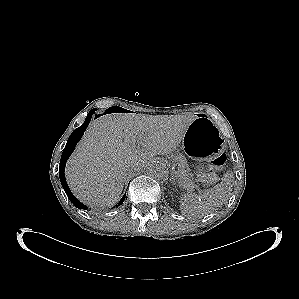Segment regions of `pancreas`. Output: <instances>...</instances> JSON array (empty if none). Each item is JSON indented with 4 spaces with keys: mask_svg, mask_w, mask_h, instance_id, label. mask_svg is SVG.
Instances as JSON below:
<instances>
[{
    "mask_svg": "<svg viewBox=\"0 0 299 299\" xmlns=\"http://www.w3.org/2000/svg\"><path fill=\"white\" fill-rule=\"evenodd\" d=\"M177 162H178V177L179 179L185 184L190 186L191 185V173H190V169L188 167L186 158L182 155L178 156L177 158Z\"/></svg>",
    "mask_w": 299,
    "mask_h": 299,
    "instance_id": "pancreas-1",
    "label": "pancreas"
}]
</instances>
